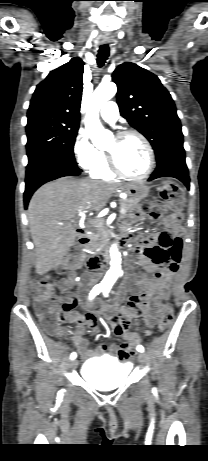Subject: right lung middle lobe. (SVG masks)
<instances>
[{
	"instance_id": "right-lung-middle-lobe-1",
	"label": "right lung middle lobe",
	"mask_w": 208,
	"mask_h": 461,
	"mask_svg": "<svg viewBox=\"0 0 208 461\" xmlns=\"http://www.w3.org/2000/svg\"><path fill=\"white\" fill-rule=\"evenodd\" d=\"M79 122L55 118H28V165L46 156H59L76 163L73 147Z\"/></svg>"
}]
</instances>
